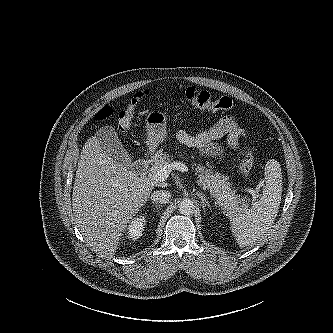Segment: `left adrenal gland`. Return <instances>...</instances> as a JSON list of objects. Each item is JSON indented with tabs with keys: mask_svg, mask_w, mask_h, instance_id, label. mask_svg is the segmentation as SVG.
Instances as JSON below:
<instances>
[{
	"mask_svg": "<svg viewBox=\"0 0 333 333\" xmlns=\"http://www.w3.org/2000/svg\"><path fill=\"white\" fill-rule=\"evenodd\" d=\"M196 195L201 199V203H202V206H203V209H204V212H205V207L206 206L209 207L205 194L197 191Z\"/></svg>",
	"mask_w": 333,
	"mask_h": 333,
	"instance_id": "left-adrenal-gland-1",
	"label": "left adrenal gland"
}]
</instances>
